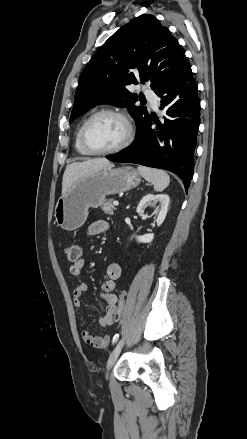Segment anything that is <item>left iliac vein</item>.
<instances>
[{
    "instance_id": "4c4485c4",
    "label": "left iliac vein",
    "mask_w": 247,
    "mask_h": 439,
    "mask_svg": "<svg viewBox=\"0 0 247 439\" xmlns=\"http://www.w3.org/2000/svg\"><path fill=\"white\" fill-rule=\"evenodd\" d=\"M124 338H122L116 345V347L114 348V350L111 352L108 362H107V374L110 371V369L112 368V366L115 364L121 350L122 347L124 345Z\"/></svg>"
}]
</instances>
